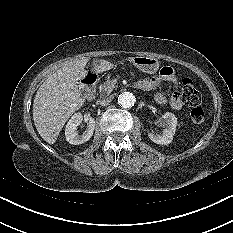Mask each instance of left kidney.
<instances>
[{"instance_id": "1", "label": "left kidney", "mask_w": 233, "mask_h": 233, "mask_svg": "<svg viewBox=\"0 0 233 233\" xmlns=\"http://www.w3.org/2000/svg\"><path fill=\"white\" fill-rule=\"evenodd\" d=\"M163 121L165 129L162 131V134L149 133L148 137L151 141L160 145H168L171 143L173 136L176 131L177 118L174 114L166 112L163 116Z\"/></svg>"}]
</instances>
